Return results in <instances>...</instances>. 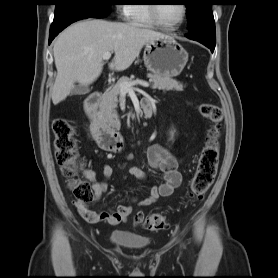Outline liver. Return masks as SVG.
<instances>
[{"label":"liver","instance_id":"obj_1","mask_svg":"<svg viewBox=\"0 0 278 278\" xmlns=\"http://www.w3.org/2000/svg\"><path fill=\"white\" fill-rule=\"evenodd\" d=\"M163 37V33L151 29L102 19L71 25L54 43L57 76L51 93L53 104L65 100L75 82L83 86L93 83L102 72L105 52L115 53L109 68L123 71L130 67L147 42Z\"/></svg>","mask_w":278,"mask_h":278}]
</instances>
